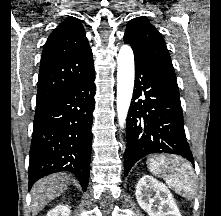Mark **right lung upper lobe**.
Returning <instances> with one entry per match:
<instances>
[{
    "label": "right lung upper lobe",
    "mask_w": 221,
    "mask_h": 216,
    "mask_svg": "<svg viewBox=\"0 0 221 216\" xmlns=\"http://www.w3.org/2000/svg\"><path fill=\"white\" fill-rule=\"evenodd\" d=\"M94 74L92 51L77 18L64 20L44 45L36 107Z\"/></svg>",
    "instance_id": "right-lung-upper-lobe-1"
}]
</instances>
